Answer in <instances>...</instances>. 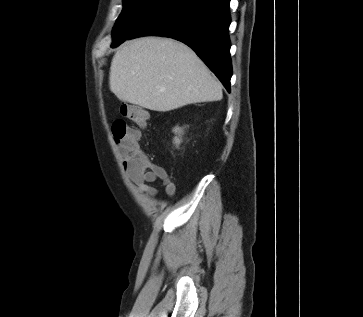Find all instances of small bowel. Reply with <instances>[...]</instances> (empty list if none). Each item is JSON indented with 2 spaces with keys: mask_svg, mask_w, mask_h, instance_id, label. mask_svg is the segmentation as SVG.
I'll return each instance as SVG.
<instances>
[{
  "mask_svg": "<svg viewBox=\"0 0 363 317\" xmlns=\"http://www.w3.org/2000/svg\"><path fill=\"white\" fill-rule=\"evenodd\" d=\"M143 155L146 157L143 167L138 169L130 166L126 167L131 180L136 184L138 190L149 196H156L158 191L150 183L160 180L165 187L167 195L172 196L175 192V185L166 171L162 167L152 163L145 154Z\"/></svg>",
  "mask_w": 363,
  "mask_h": 317,
  "instance_id": "small-bowel-1",
  "label": "small bowel"
}]
</instances>
